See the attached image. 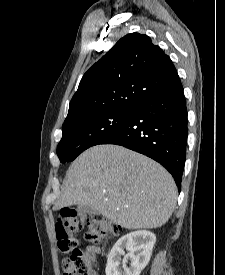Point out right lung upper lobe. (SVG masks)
I'll return each instance as SVG.
<instances>
[{"instance_id": "right-lung-upper-lobe-1", "label": "right lung upper lobe", "mask_w": 225, "mask_h": 275, "mask_svg": "<svg viewBox=\"0 0 225 275\" xmlns=\"http://www.w3.org/2000/svg\"><path fill=\"white\" fill-rule=\"evenodd\" d=\"M179 85L170 57L147 35L128 34L84 74L63 126L97 113L132 110L141 101Z\"/></svg>"}]
</instances>
